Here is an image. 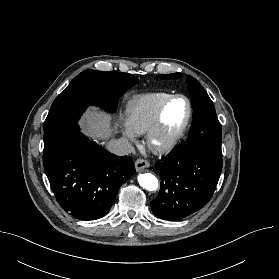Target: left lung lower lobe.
<instances>
[{
	"label": "left lung lower lobe",
	"instance_id": "1",
	"mask_svg": "<svg viewBox=\"0 0 279 279\" xmlns=\"http://www.w3.org/2000/svg\"><path fill=\"white\" fill-rule=\"evenodd\" d=\"M155 167L161 188L151 201L152 212L163 220H180L200 210L212 197L222 156L186 143L176 146Z\"/></svg>",
	"mask_w": 279,
	"mask_h": 279
}]
</instances>
